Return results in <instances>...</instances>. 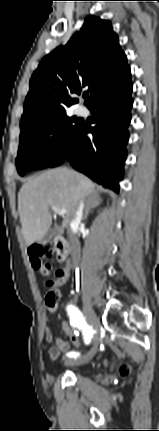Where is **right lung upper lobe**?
Wrapping results in <instances>:
<instances>
[{
	"label": "right lung upper lobe",
	"mask_w": 159,
	"mask_h": 431,
	"mask_svg": "<svg viewBox=\"0 0 159 431\" xmlns=\"http://www.w3.org/2000/svg\"><path fill=\"white\" fill-rule=\"evenodd\" d=\"M130 76L111 23L88 16L79 33L65 45L45 56L30 80L21 131L66 112L78 102L69 93L80 94L87 87L89 107L106 89Z\"/></svg>",
	"instance_id": "obj_1"
}]
</instances>
